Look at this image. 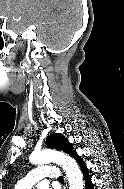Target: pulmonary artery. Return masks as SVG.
<instances>
[{
  "label": "pulmonary artery",
  "mask_w": 124,
  "mask_h": 189,
  "mask_svg": "<svg viewBox=\"0 0 124 189\" xmlns=\"http://www.w3.org/2000/svg\"><path fill=\"white\" fill-rule=\"evenodd\" d=\"M60 175L59 168L56 166H45L35 168L27 176L19 180L15 186L16 189H31L33 185L45 178L58 179Z\"/></svg>",
  "instance_id": "e3ab8cb5"
}]
</instances>
